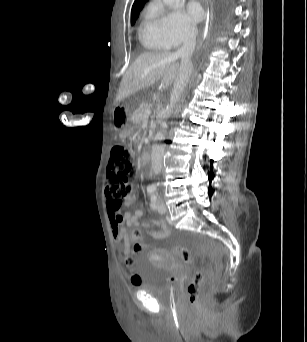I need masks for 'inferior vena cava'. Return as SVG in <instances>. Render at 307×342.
<instances>
[{
    "mask_svg": "<svg viewBox=\"0 0 307 342\" xmlns=\"http://www.w3.org/2000/svg\"><path fill=\"white\" fill-rule=\"evenodd\" d=\"M197 30L190 28L187 32L183 46L177 50L176 54L181 58L180 68L173 84L170 94V104H176L181 98L193 72V64L191 58L196 46ZM164 156V148L162 146H154L151 154V164L154 174H160L162 168V160Z\"/></svg>",
    "mask_w": 307,
    "mask_h": 342,
    "instance_id": "obj_1",
    "label": "inferior vena cava"
}]
</instances>
